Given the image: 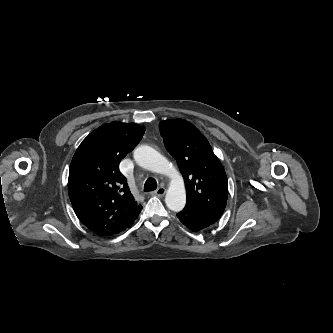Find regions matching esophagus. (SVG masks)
Segmentation results:
<instances>
[{"label":"esophagus","mask_w":333,"mask_h":333,"mask_svg":"<svg viewBox=\"0 0 333 333\" xmlns=\"http://www.w3.org/2000/svg\"><path fill=\"white\" fill-rule=\"evenodd\" d=\"M165 193H166V189L164 187H160L156 191H154L152 194L162 197L165 195Z\"/></svg>","instance_id":"34e87169"}]
</instances>
